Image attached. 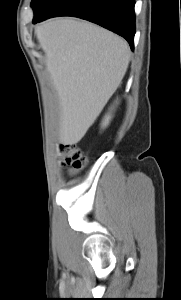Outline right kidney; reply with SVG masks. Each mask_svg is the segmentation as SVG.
<instances>
[{
    "mask_svg": "<svg viewBox=\"0 0 181 300\" xmlns=\"http://www.w3.org/2000/svg\"><path fill=\"white\" fill-rule=\"evenodd\" d=\"M112 116L111 114H107L102 122V128H105L109 125Z\"/></svg>",
    "mask_w": 181,
    "mask_h": 300,
    "instance_id": "right-kidney-1",
    "label": "right kidney"
}]
</instances>
